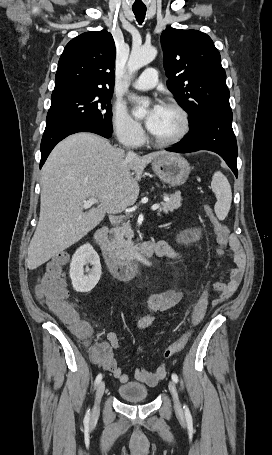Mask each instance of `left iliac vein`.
<instances>
[{
	"instance_id": "1",
	"label": "left iliac vein",
	"mask_w": 272,
	"mask_h": 455,
	"mask_svg": "<svg viewBox=\"0 0 272 455\" xmlns=\"http://www.w3.org/2000/svg\"><path fill=\"white\" fill-rule=\"evenodd\" d=\"M169 391L173 397V400H174V406H175V409L180 412L182 410L181 408V404H180V401H179V397H178V393H177V390H176V386L174 384L173 381H169Z\"/></svg>"
}]
</instances>
